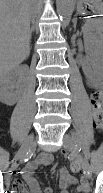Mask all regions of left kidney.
Wrapping results in <instances>:
<instances>
[{"mask_svg": "<svg viewBox=\"0 0 103 193\" xmlns=\"http://www.w3.org/2000/svg\"><path fill=\"white\" fill-rule=\"evenodd\" d=\"M87 59L82 63V70L88 79L103 76V51L102 48L85 42Z\"/></svg>", "mask_w": 103, "mask_h": 193, "instance_id": "5707ae66", "label": "left kidney"}]
</instances>
